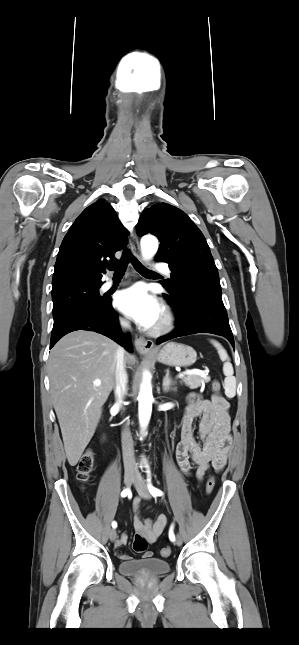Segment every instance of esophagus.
Wrapping results in <instances>:
<instances>
[{
    "label": "esophagus",
    "instance_id": "esophagus-1",
    "mask_svg": "<svg viewBox=\"0 0 299 645\" xmlns=\"http://www.w3.org/2000/svg\"><path fill=\"white\" fill-rule=\"evenodd\" d=\"M130 247L133 255L140 260L141 253L139 248L138 238L133 234L130 238ZM135 347L136 350L141 354H148L154 350V343L151 340H146L142 335H135Z\"/></svg>",
    "mask_w": 299,
    "mask_h": 645
}]
</instances>
